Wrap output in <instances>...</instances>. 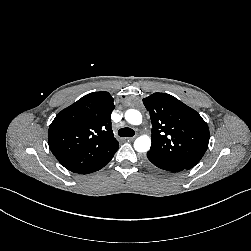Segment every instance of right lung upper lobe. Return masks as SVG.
<instances>
[{"instance_id":"cb5924a9","label":"right lung upper lobe","mask_w":251,"mask_h":251,"mask_svg":"<svg viewBox=\"0 0 251 251\" xmlns=\"http://www.w3.org/2000/svg\"><path fill=\"white\" fill-rule=\"evenodd\" d=\"M112 96L105 91L85 95L57 114L48 131L49 147L74 173L102 167L119 148L111 129Z\"/></svg>"}]
</instances>
